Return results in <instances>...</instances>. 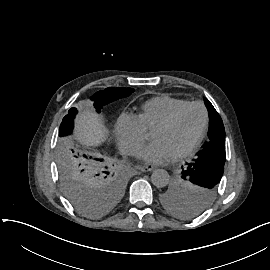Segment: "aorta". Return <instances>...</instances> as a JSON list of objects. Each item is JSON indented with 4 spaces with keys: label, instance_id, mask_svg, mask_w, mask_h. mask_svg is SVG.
Returning a JSON list of instances; mask_svg holds the SVG:
<instances>
[{
    "label": "aorta",
    "instance_id": "obj_1",
    "mask_svg": "<svg viewBox=\"0 0 270 270\" xmlns=\"http://www.w3.org/2000/svg\"><path fill=\"white\" fill-rule=\"evenodd\" d=\"M170 180L169 174L164 169H156L153 171L151 181L157 188H162L168 185Z\"/></svg>",
    "mask_w": 270,
    "mask_h": 270
}]
</instances>
